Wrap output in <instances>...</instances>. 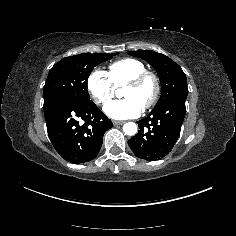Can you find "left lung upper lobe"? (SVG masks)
<instances>
[{
  "label": "left lung upper lobe",
  "mask_w": 236,
  "mask_h": 236,
  "mask_svg": "<svg viewBox=\"0 0 236 236\" xmlns=\"http://www.w3.org/2000/svg\"><path fill=\"white\" fill-rule=\"evenodd\" d=\"M128 54L144 59L158 73L161 82V96L154 108L163 105L175 97H187L186 75L169 57L151 50L131 51Z\"/></svg>",
  "instance_id": "left-lung-upper-lobe-1"
}]
</instances>
